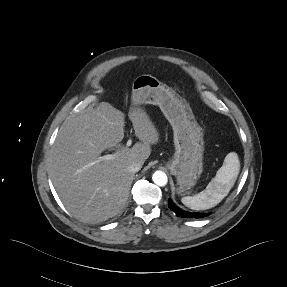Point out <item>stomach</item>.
Wrapping results in <instances>:
<instances>
[{
  "label": "stomach",
  "instance_id": "obj_1",
  "mask_svg": "<svg viewBox=\"0 0 287 287\" xmlns=\"http://www.w3.org/2000/svg\"><path fill=\"white\" fill-rule=\"evenodd\" d=\"M131 99L136 105H158L170 122L175 153L166 165L177 179L178 194H187L203 172V132L192 109L174 90L149 74L133 80Z\"/></svg>",
  "mask_w": 287,
  "mask_h": 287
}]
</instances>
